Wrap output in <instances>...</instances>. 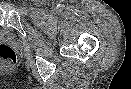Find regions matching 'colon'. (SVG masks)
I'll use <instances>...</instances> for the list:
<instances>
[{"label": "colon", "mask_w": 131, "mask_h": 89, "mask_svg": "<svg viewBox=\"0 0 131 89\" xmlns=\"http://www.w3.org/2000/svg\"><path fill=\"white\" fill-rule=\"evenodd\" d=\"M16 60L13 50L6 46L0 45V63L4 65H12Z\"/></svg>", "instance_id": "obj_1"}]
</instances>
